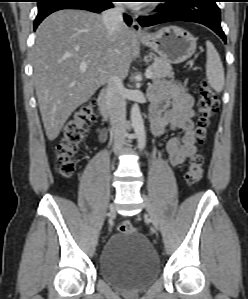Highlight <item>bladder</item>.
Here are the masks:
<instances>
[{"label": "bladder", "instance_id": "obj_1", "mask_svg": "<svg viewBox=\"0 0 248 299\" xmlns=\"http://www.w3.org/2000/svg\"><path fill=\"white\" fill-rule=\"evenodd\" d=\"M99 272L117 288L138 291L147 288L159 276L160 262L142 233H116L102 248Z\"/></svg>", "mask_w": 248, "mask_h": 299}]
</instances>
